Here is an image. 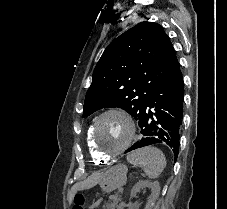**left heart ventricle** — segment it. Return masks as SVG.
Here are the masks:
<instances>
[{"label":"left heart ventricle","mask_w":227,"mask_h":209,"mask_svg":"<svg viewBox=\"0 0 227 209\" xmlns=\"http://www.w3.org/2000/svg\"><path fill=\"white\" fill-rule=\"evenodd\" d=\"M131 135L129 122L120 114L105 116L97 128V141L104 151L111 152L121 148Z\"/></svg>","instance_id":"left-heart-ventricle-1"}]
</instances>
